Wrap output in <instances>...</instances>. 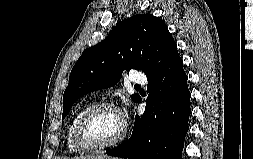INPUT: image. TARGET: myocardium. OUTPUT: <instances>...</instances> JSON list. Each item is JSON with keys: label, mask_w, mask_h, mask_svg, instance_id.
Wrapping results in <instances>:
<instances>
[{"label": "myocardium", "mask_w": 253, "mask_h": 159, "mask_svg": "<svg viewBox=\"0 0 253 159\" xmlns=\"http://www.w3.org/2000/svg\"><path fill=\"white\" fill-rule=\"evenodd\" d=\"M103 109H113L117 111L121 118H122V130L119 133V135L114 138L111 141L101 143V144H92L86 139V125L89 121V119L98 111ZM127 135V123L122 115L121 110L119 107L111 102V101H103L98 102L93 105H91L80 117L79 121L76 124L75 133H74V139L76 145L82 149L87 151H97V150H104L111 147H114L118 144H120Z\"/></svg>", "instance_id": "1"}]
</instances>
